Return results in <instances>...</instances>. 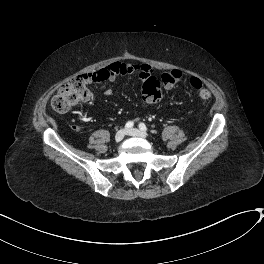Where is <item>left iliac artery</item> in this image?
<instances>
[{
    "instance_id": "obj_1",
    "label": "left iliac artery",
    "mask_w": 264,
    "mask_h": 264,
    "mask_svg": "<svg viewBox=\"0 0 264 264\" xmlns=\"http://www.w3.org/2000/svg\"><path fill=\"white\" fill-rule=\"evenodd\" d=\"M139 128H140L142 131H147V130H148L147 127H146V125H145L144 123H140V124H139Z\"/></svg>"
}]
</instances>
